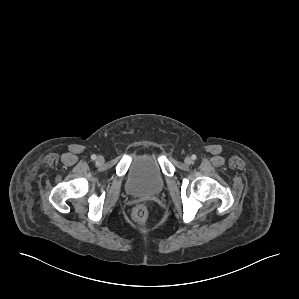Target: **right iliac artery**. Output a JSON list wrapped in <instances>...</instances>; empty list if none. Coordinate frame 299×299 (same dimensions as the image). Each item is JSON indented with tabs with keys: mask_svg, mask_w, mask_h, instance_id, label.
<instances>
[{
	"mask_svg": "<svg viewBox=\"0 0 299 299\" xmlns=\"http://www.w3.org/2000/svg\"><path fill=\"white\" fill-rule=\"evenodd\" d=\"M91 159L95 160L96 159V155L95 154L91 155Z\"/></svg>",
	"mask_w": 299,
	"mask_h": 299,
	"instance_id": "82829eb1",
	"label": "right iliac artery"
}]
</instances>
